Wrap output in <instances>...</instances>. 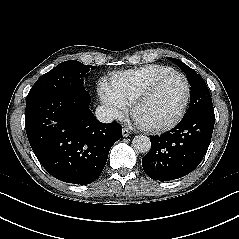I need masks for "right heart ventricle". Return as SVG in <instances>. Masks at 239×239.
Listing matches in <instances>:
<instances>
[{
  "label": "right heart ventricle",
  "instance_id": "1",
  "mask_svg": "<svg viewBox=\"0 0 239 239\" xmlns=\"http://www.w3.org/2000/svg\"><path fill=\"white\" fill-rule=\"evenodd\" d=\"M171 68L160 64H148L136 69L114 73L110 84L115 92L128 104H132L136 95L155 77Z\"/></svg>",
  "mask_w": 239,
  "mask_h": 239
}]
</instances>
